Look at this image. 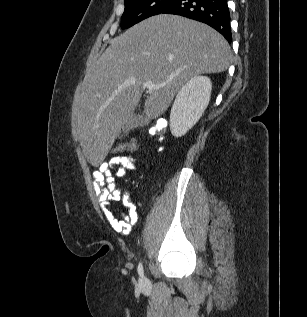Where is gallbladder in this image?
<instances>
[{
	"label": "gallbladder",
	"mask_w": 307,
	"mask_h": 317,
	"mask_svg": "<svg viewBox=\"0 0 307 317\" xmlns=\"http://www.w3.org/2000/svg\"><path fill=\"white\" fill-rule=\"evenodd\" d=\"M143 125V116L139 113L132 112L122 126V133L125 135L130 130Z\"/></svg>",
	"instance_id": "gallbladder-1"
}]
</instances>
